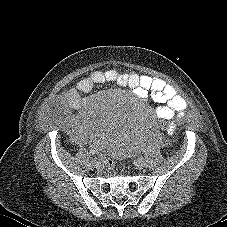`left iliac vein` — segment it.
I'll use <instances>...</instances> for the list:
<instances>
[{
    "mask_svg": "<svg viewBox=\"0 0 227 227\" xmlns=\"http://www.w3.org/2000/svg\"><path fill=\"white\" fill-rule=\"evenodd\" d=\"M136 164L138 168L142 169L146 166V161L142 157H140L136 160Z\"/></svg>",
    "mask_w": 227,
    "mask_h": 227,
    "instance_id": "4c4485c4",
    "label": "left iliac vein"
}]
</instances>
